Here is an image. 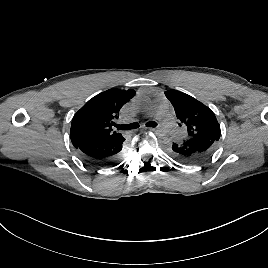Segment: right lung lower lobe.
Returning a JSON list of instances; mask_svg holds the SVG:
<instances>
[{
    "instance_id": "1",
    "label": "right lung lower lobe",
    "mask_w": 268,
    "mask_h": 268,
    "mask_svg": "<svg viewBox=\"0 0 268 268\" xmlns=\"http://www.w3.org/2000/svg\"><path fill=\"white\" fill-rule=\"evenodd\" d=\"M124 141L125 138L122 136L114 141L84 143L75 148L80 156L89 163L110 165L119 159Z\"/></svg>"
}]
</instances>
